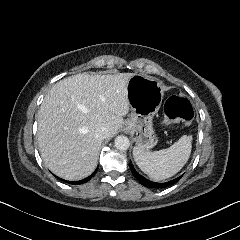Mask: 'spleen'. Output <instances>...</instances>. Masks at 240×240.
<instances>
[{"mask_svg":"<svg viewBox=\"0 0 240 240\" xmlns=\"http://www.w3.org/2000/svg\"><path fill=\"white\" fill-rule=\"evenodd\" d=\"M192 148V136L183 135L167 149L148 152L133 148L137 166L154 181H161L177 174L187 163Z\"/></svg>","mask_w":240,"mask_h":240,"instance_id":"spleen-1","label":"spleen"}]
</instances>
